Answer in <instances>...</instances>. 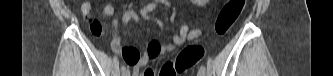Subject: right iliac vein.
<instances>
[{
    "instance_id": "right-iliac-vein-1",
    "label": "right iliac vein",
    "mask_w": 333,
    "mask_h": 76,
    "mask_svg": "<svg viewBox=\"0 0 333 76\" xmlns=\"http://www.w3.org/2000/svg\"><path fill=\"white\" fill-rule=\"evenodd\" d=\"M129 75V71H125L122 73V76H128Z\"/></svg>"
}]
</instances>
